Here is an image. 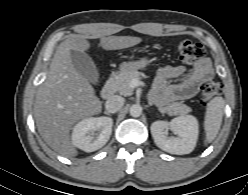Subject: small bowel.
Here are the masks:
<instances>
[{
    "label": "small bowel",
    "instance_id": "c3829d8e",
    "mask_svg": "<svg viewBox=\"0 0 248 195\" xmlns=\"http://www.w3.org/2000/svg\"><path fill=\"white\" fill-rule=\"evenodd\" d=\"M184 66H165L157 71L151 99L159 106L186 100L198 92L200 85L213 77V67L209 59H201L195 63L190 73L185 74ZM174 79H181L172 83Z\"/></svg>",
    "mask_w": 248,
    "mask_h": 195
}]
</instances>
